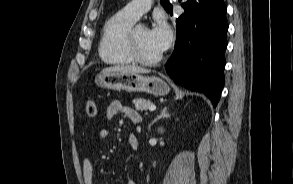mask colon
Returning <instances> with one entry per match:
<instances>
[{"label":"colon","instance_id":"obj_1","mask_svg":"<svg viewBox=\"0 0 293 184\" xmlns=\"http://www.w3.org/2000/svg\"><path fill=\"white\" fill-rule=\"evenodd\" d=\"M86 114L93 118L97 114V105L94 100H88L86 103Z\"/></svg>","mask_w":293,"mask_h":184}]
</instances>
